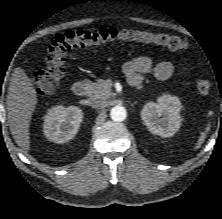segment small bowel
Returning <instances> with one entry per match:
<instances>
[{
  "mask_svg": "<svg viewBox=\"0 0 222 219\" xmlns=\"http://www.w3.org/2000/svg\"><path fill=\"white\" fill-rule=\"evenodd\" d=\"M123 71L128 83L137 86L142 82L143 74L150 72L158 80L168 79L174 72V66L169 61L155 62L150 56H140L125 63Z\"/></svg>",
  "mask_w": 222,
  "mask_h": 219,
  "instance_id": "1",
  "label": "small bowel"
}]
</instances>
